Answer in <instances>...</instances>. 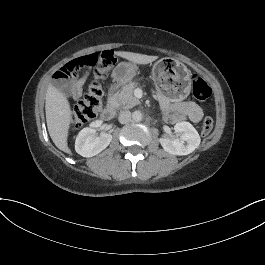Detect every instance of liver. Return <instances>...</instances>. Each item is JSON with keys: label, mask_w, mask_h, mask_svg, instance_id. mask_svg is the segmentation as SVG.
Wrapping results in <instances>:
<instances>
[{"label": "liver", "mask_w": 265, "mask_h": 265, "mask_svg": "<svg viewBox=\"0 0 265 265\" xmlns=\"http://www.w3.org/2000/svg\"><path fill=\"white\" fill-rule=\"evenodd\" d=\"M115 55L136 64H149L158 59V56H148L124 51H117ZM45 111L47 128L51 139L58 149L71 155V150L67 145V137L69 125L72 120V112L65 94L52 84H49L47 88Z\"/></svg>", "instance_id": "1"}]
</instances>
